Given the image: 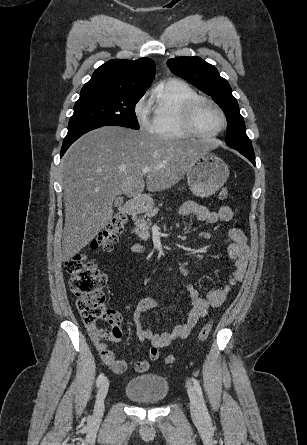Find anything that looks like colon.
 <instances>
[{"mask_svg": "<svg viewBox=\"0 0 307 445\" xmlns=\"http://www.w3.org/2000/svg\"><path fill=\"white\" fill-rule=\"evenodd\" d=\"M229 195L227 188H222L219 192V199L225 200ZM128 217L123 212L116 213L108 222L105 229L100 233L93 248H101L110 251L118 240L119 235L124 231ZM66 270L70 274L69 287L71 292L78 298L77 308L85 324H93L98 319H103L111 325L108 339L119 342L122 337L120 329L121 317L113 309L107 306L105 295L102 291L106 276L98 268L93 260H89L84 255L73 257L66 263ZM212 321L202 326L198 334V341H205L212 329ZM173 355L165 357L167 365L173 364Z\"/></svg>", "mask_w": 307, "mask_h": 445, "instance_id": "obj_1", "label": "colon"}]
</instances>
